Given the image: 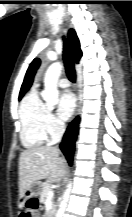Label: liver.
Instances as JSON below:
<instances>
[{
	"label": "liver",
	"mask_w": 132,
	"mask_h": 217,
	"mask_svg": "<svg viewBox=\"0 0 132 217\" xmlns=\"http://www.w3.org/2000/svg\"><path fill=\"white\" fill-rule=\"evenodd\" d=\"M66 174L65 159L53 146H37L24 150L19 157V197L22 198L27 189L42 179L57 183Z\"/></svg>",
	"instance_id": "obj_1"
}]
</instances>
